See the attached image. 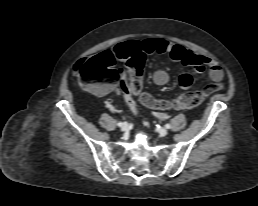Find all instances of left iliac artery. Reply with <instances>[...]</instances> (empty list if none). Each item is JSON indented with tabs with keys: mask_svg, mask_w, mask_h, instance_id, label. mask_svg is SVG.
<instances>
[{
	"mask_svg": "<svg viewBox=\"0 0 258 206\" xmlns=\"http://www.w3.org/2000/svg\"><path fill=\"white\" fill-rule=\"evenodd\" d=\"M165 127H166L167 129H169V128H171V125H170V124H166Z\"/></svg>",
	"mask_w": 258,
	"mask_h": 206,
	"instance_id": "1",
	"label": "left iliac artery"
}]
</instances>
